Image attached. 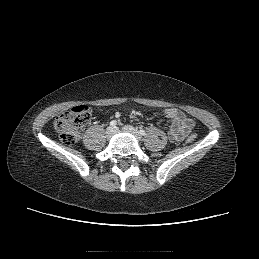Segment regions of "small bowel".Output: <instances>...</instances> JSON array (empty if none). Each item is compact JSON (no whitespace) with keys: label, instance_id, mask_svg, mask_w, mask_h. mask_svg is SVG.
<instances>
[{"label":"small bowel","instance_id":"obj_1","mask_svg":"<svg viewBox=\"0 0 259 259\" xmlns=\"http://www.w3.org/2000/svg\"><path fill=\"white\" fill-rule=\"evenodd\" d=\"M162 115L170 122L167 135L172 142L182 141L195 125L191 118L177 108H167Z\"/></svg>","mask_w":259,"mask_h":259}]
</instances>
